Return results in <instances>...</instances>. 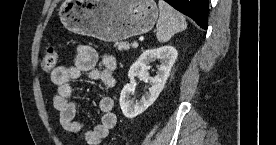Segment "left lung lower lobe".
<instances>
[{
  "instance_id": "obj_1",
  "label": "left lung lower lobe",
  "mask_w": 276,
  "mask_h": 145,
  "mask_svg": "<svg viewBox=\"0 0 276 145\" xmlns=\"http://www.w3.org/2000/svg\"><path fill=\"white\" fill-rule=\"evenodd\" d=\"M178 11L191 17L201 28L207 29L208 0H165Z\"/></svg>"
}]
</instances>
